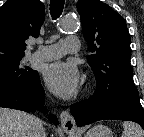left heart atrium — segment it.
Masks as SVG:
<instances>
[{
    "instance_id": "1",
    "label": "left heart atrium",
    "mask_w": 144,
    "mask_h": 137,
    "mask_svg": "<svg viewBox=\"0 0 144 137\" xmlns=\"http://www.w3.org/2000/svg\"><path fill=\"white\" fill-rule=\"evenodd\" d=\"M45 80L54 94L69 99L79 88L80 74L74 63L56 62L46 67Z\"/></svg>"
}]
</instances>
